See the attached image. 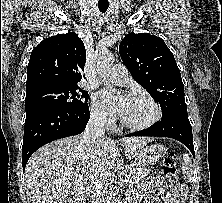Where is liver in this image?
Segmentation results:
<instances>
[{"label":"liver","instance_id":"1","mask_svg":"<svg viewBox=\"0 0 222 203\" xmlns=\"http://www.w3.org/2000/svg\"><path fill=\"white\" fill-rule=\"evenodd\" d=\"M152 139H123L125 154L144 147ZM123 166L115 143L108 138L87 145L83 134L53 141L37 150L25 168L26 190L31 203H85L97 182Z\"/></svg>","mask_w":222,"mask_h":203}]
</instances>
